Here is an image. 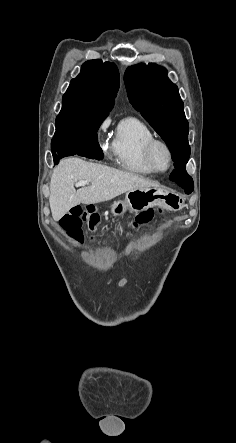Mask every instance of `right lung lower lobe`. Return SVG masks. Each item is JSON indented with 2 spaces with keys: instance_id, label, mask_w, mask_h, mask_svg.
Segmentation results:
<instances>
[{
  "instance_id": "right-lung-lower-lobe-1",
  "label": "right lung lower lobe",
  "mask_w": 236,
  "mask_h": 443,
  "mask_svg": "<svg viewBox=\"0 0 236 443\" xmlns=\"http://www.w3.org/2000/svg\"><path fill=\"white\" fill-rule=\"evenodd\" d=\"M52 154L55 164H57L61 158L75 154L97 160H101L104 156L99 144L63 148L52 151Z\"/></svg>"
}]
</instances>
